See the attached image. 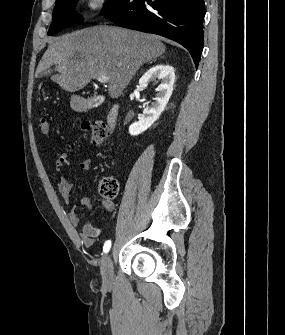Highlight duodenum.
<instances>
[{
    "mask_svg": "<svg viewBox=\"0 0 285 335\" xmlns=\"http://www.w3.org/2000/svg\"><path fill=\"white\" fill-rule=\"evenodd\" d=\"M100 99L96 98L90 102H88L87 107H93L96 106L100 103ZM119 115V107L118 105H114L111 110L109 111V114L107 116V125L109 127V129H114L116 123H117V118Z\"/></svg>",
    "mask_w": 285,
    "mask_h": 335,
    "instance_id": "obj_1",
    "label": "duodenum"
}]
</instances>
